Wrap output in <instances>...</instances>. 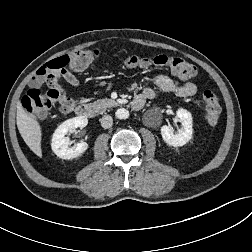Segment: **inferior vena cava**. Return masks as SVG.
I'll list each match as a JSON object with an SVG mask.
<instances>
[{"instance_id": "602c4592", "label": "inferior vena cava", "mask_w": 252, "mask_h": 252, "mask_svg": "<svg viewBox=\"0 0 252 252\" xmlns=\"http://www.w3.org/2000/svg\"><path fill=\"white\" fill-rule=\"evenodd\" d=\"M100 122H101V126L104 129H108V128H110L113 125V119H112V117L110 115H104L100 119Z\"/></svg>"}]
</instances>
